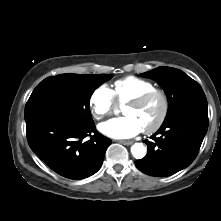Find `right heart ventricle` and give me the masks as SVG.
<instances>
[{"mask_svg":"<svg viewBox=\"0 0 221 221\" xmlns=\"http://www.w3.org/2000/svg\"><path fill=\"white\" fill-rule=\"evenodd\" d=\"M152 89H155V85L151 81L135 76H128L117 80L114 83L112 91L117 103L126 104L130 100Z\"/></svg>","mask_w":221,"mask_h":221,"instance_id":"obj_1","label":"right heart ventricle"}]
</instances>
